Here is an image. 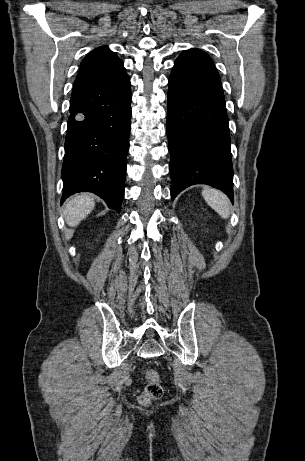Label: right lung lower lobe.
Returning <instances> with one entry per match:
<instances>
[{
	"label": "right lung lower lobe",
	"instance_id": "98d812e1",
	"mask_svg": "<svg viewBox=\"0 0 305 461\" xmlns=\"http://www.w3.org/2000/svg\"><path fill=\"white\" fill-rule=\"evenodd\" d=\"M131 89L122 73L106 82L75 86L62 167L61 204L72 194L93 192L121 211L129 149Z\"/></svg>",
	"mask_w": 305,
	"mask_h": 461
}]
</instances>
